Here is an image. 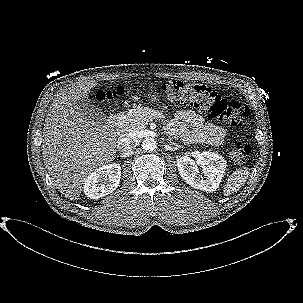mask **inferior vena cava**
I'll return each mask as SVG.
<instances>
[{
	"instance_id": "602c4592",
	"label": "inferior vena cava",
	"mask_w": 303,
	"mask_h": 303,
	"mask_svg": "<svg viewBox=\"0 0 303 303\" xmlns=\"http://www.w3.org/2000/svg\"><path fill=\"white\" fill-rule=\"evenodd\" d=\"M117 143L118 148L123 151L130 150L133 148V141L127 134L120 135Z\"/></svg>"
}]
</instances>
